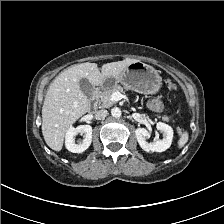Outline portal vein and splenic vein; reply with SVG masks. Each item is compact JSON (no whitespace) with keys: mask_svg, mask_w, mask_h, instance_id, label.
<instances>
[{"mask_svg":"<svg viewBox=\"0 0 224 224\" xmlns=\"http://www.w3.org/2000/svg\"><path fill=\"white\" fill-rule=\"evenodd\" d=\"M110 99L114 102L120 101L121 99H127L126 95L121 94L120 92L112 93Z\"/></svg>","mask_w":224,"mask_h":224,"instance_id":"portal-vein-and-splenic-vein-1","label":"portal vein and splenic vein"}]
</instances>
